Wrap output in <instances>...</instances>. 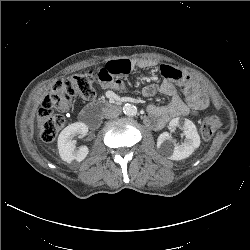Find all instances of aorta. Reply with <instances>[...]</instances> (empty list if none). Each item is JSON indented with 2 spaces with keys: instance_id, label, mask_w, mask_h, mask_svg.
Wrapping results in <instances>:
<instances>
[{
  "instance_id": "762f6f07",
  "label": "aorta",
  "mask_w": 250,
  "mask_h": 250,
  "mask_svg": "<svg viewBox=\"0 0 250 250\" xmlns=\"http://www.w3.org/2000/svg\"><path fill=\"white\" fill-rule=\"evenodd\" d=\"M123 112L127 116H135L137 114V108L133 104H125L123 106Z\"/></svg>"
}]
</instances>
